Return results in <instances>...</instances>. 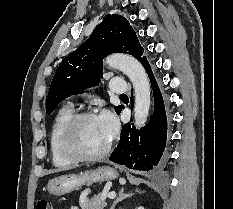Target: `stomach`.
<instances>
[{
  "instance_id": "1",
  "label": "stomach",
  "mask_w": 233,
  "mask_h": 209,
  "mask_svg": "<svg viewBox=\"0 0 233 209\" xmlns=\"http://www.w3.org/2000/svg\"><path fill=\"white\" fill-rule=\"evenodd\" d=\"M118 177V172L111 167H100L80 174H65L48 182L47 190L55 196H62L74 190H79L84 185L111 181Z\"/></svg>"
}]
</instances>
